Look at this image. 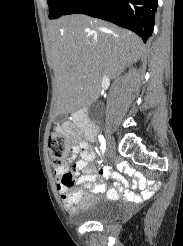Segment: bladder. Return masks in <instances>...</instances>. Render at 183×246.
I'll list each match as a JSON object with an SVG mask.
<instances>
[{
    "label": "bladder",
    "mask_w": 183,
    "mask_h": 246,
    "mask_svg": "<svg viewBox=\"0 0 183 246\" xmlns=\"http://www.w3.org/2000/svg\"><path fill=\"white\" fill-rule=\"evenodd\" d=\"M122 208L116 202L110 200L96 199L88 208L87 212L80 217L89 222H108L117 218Z\"/></svg>",
    "instance_id": "1"
}]
</instances>
